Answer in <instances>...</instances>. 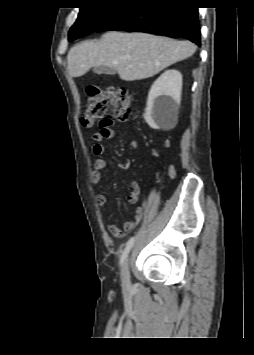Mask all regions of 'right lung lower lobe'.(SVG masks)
Returning <instances> with one entry per match:
<instances>
[{"label":"right lung lower lobe","mask_w":254,"mask_h":355,"mask_svg":"<svg viewBox=\"0 0 254 355\" xmlns=\"http://www.w3.org/2000/svg\"><path fill=\"white\" fill-rule=\"evenodd\" d=\"M111 30L154 33L201 44L198 8L192 0H131L96 31Z\"/></svg>","instance_id":"98d812e1"}]
</instances>
